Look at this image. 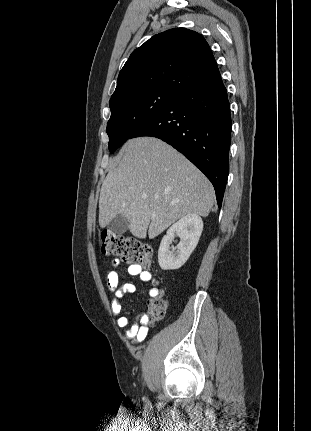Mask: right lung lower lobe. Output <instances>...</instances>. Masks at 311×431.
Listing matches in <instances>:
<instances>
[{"instance_id":"1","label":"right lung lower lobe","mask_w":311,"mask_h":431,"mask_svg":"<svg viewBox=\"0 0 311 431\" xmlns=\"http://www.w3.org/2000/svg\"><path fill=\"white\" fill-rule=\"evenodd\" d=\"M231 115L221 76L179 94L129 139L159 138L187 157L211 181L221 207L229 173Z\"/></svg>"}]
</instances>
